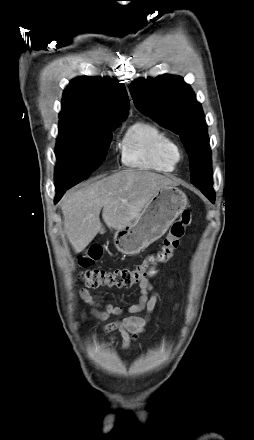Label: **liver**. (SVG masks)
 <instances>
[{
    "label": "liver",
    "instance_id": "1",
    "mask_svg": "<svg viewBox=\"0 0 254 440\" xmlns=\"http://www.w3.org/2000/svg\"><path fill=\"white\" fill-rule=\"evenodd\" d=\"M176 183L163 175L138 169L120 171L62 198L64 229L76 253L83 251L100 232V211L112 229L135 222L150 199L163 187Z\"/></svg>",
    "mask_w": 254,
    "mask_h": 440
}]
</instances>
